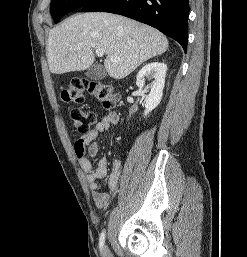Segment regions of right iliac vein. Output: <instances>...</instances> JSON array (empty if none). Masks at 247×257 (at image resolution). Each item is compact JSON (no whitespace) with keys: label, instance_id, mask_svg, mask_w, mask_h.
Instances as JSON below:
<instances>
[{"label":"right iliac vein","instance_id":"right-iliac-vein-1","mask_svg":"<svg viewBox=\"0 0 247 257\" xmlns=\"http://www.w3.org/2000/svg\"><path fill=\"white\" fill-rule=\"evenodd\" d=\"M103 257H113L107 246L104 247Z\"/></svg>","mask_w":247,"mask_h":257}]
</instances>
